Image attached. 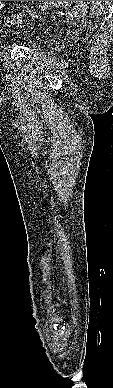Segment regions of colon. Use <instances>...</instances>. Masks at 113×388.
<instances>
[{
  "label": "colon",
  "mask_w": 113,
  "mask_h": 388,
  "mask_svg": "<svg viewBox=\"0 0 113 388\" xmlns=\"http://www.w3.org/2000/svg\"><path fill=\"white\" fill-rule=\"evenodd\" d=\"M1 9H2V5L0 3V24L1 25L13 26L21 23L22 21L21 15L11 14V13L8 15H1Z\"/></svg>",
  "instance_id": "1"
}]
</instances>
